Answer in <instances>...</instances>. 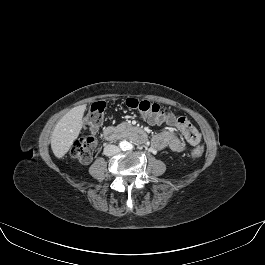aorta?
I'll use <instances>...</instances> for the list:
<instances>
[{
    "label": "aorta",
    "mask_w": 265,
    "mask_h": 265,
    "mask_svg": "<svg viewBox=\"0 0 265 265\" xmlns=\"http://www.w3.org/2000/svg\"><path fill=\"white\" fill-rule=\"evenodd\" d=\"M119 147L121 150L125 151V150H129L131 148V144L128 141H121L119 143Z\"/></svg>",
    "instance_id": "aorta-1"
}]
</instances>
